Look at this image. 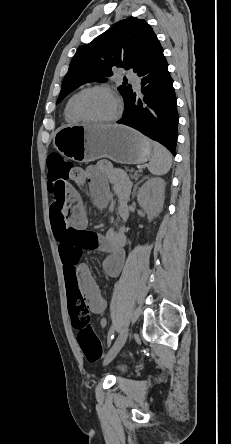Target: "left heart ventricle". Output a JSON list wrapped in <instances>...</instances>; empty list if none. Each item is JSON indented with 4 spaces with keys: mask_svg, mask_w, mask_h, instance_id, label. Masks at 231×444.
I'll return each mask as SVG.
<instances>
[{
    "mask_svg": "<svg viewBox=\"0 0 231 444\" xmlns=\"http://www.w3.org/2000/svg\"><path fill=\"white\" fill-rule=\"evenodd\" d=\"M81 112L92 120H104L111 117L115 111L113 99L105 92L91 91L80 101Z\"/></svg>",
    "mask_w": 231,
    "mask_h": 444,
    "instance_id": "b2bd125f",
    "label": "left heart ventricle"
}]
</instances>
